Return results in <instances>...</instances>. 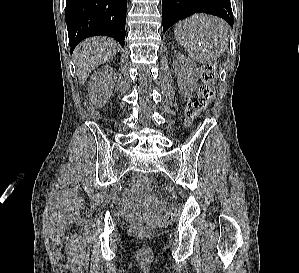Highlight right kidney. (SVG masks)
<instances>
[{"instance_id":"obj_1","label":"right kidney","mask_w":299,"mask_h":273,"mask_svg":"<svg viewBox=\"0 0 299 273\" xmlns=\"http://www.w3.org/2000/svg\"><path fill=\"white\" fill-rule=\"evenodd\" d=\"M113 75V69L105 66L93 73L88 83V94L91 101L102 106L112 93L113 81L105 79Z\"/></svg>"}]
</instances>
